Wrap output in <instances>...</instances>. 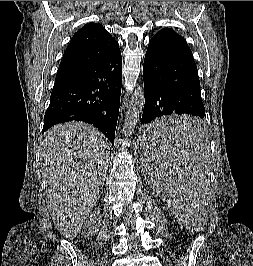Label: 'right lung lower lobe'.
<instances>
[{
	"label": "right lung lower lobe",
	"mask_w": 253,
	"mask_h": 266,
	"mask_svg": "<svg viewBox=\"0 0 253 266\" xmlns=\"http://www.w3.org/2000/svg\"><path fill=\"white\" fill-rule=\"evenodd\" d=\"M122 85L120 50L108 59L55 80L42 133L66 121H83L98 128L112 144Z\"/></svg>",
	"instance_id": "98d812e1"
}]
</instances>
